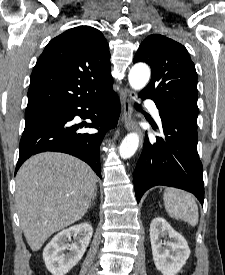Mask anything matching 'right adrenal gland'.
I'll list each match as a JSON object with an SVG mask.
<instances>
[{
  "instance_id": "2a0ac1e0",
  "label": "right adrenal gland",
  "mask_w": 225,
  "mask_h": 275,
  "mask_svg": "<svg viewBox=\"0 0 225 275\" xmlns=\"http://www.w3.org/2000/svg\"><path fill=\"white\" fill-rule=\"evenodd\" d=\"M96 196H97V189H96V191H95V193H94V195H93V197H92V203H91V205L94 204V201H95V199H96Z\"/></svg>"
}]
</instances>
